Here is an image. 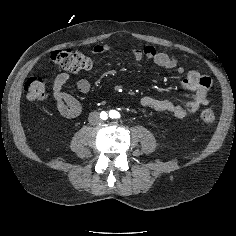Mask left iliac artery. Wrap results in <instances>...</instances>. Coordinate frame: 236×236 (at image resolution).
Returning a JSON list of instances; mask_svg holds the SVG:
<instances>
[{"mask_svg":"<svg viewBox=\"0 0 236 236\" xmlns=\"http://www.w3.org/2000/svg\"><path fill=\"white\" fill-rule=\"evenodd\" d=\"M110 117L115 119L120 118V114L117 111L112 110L110 111Z\"/></svg>","mask_w":236,"mask_h":236,"instance_id":"44dca946","label":"left iliac artery"}]
</instances>
